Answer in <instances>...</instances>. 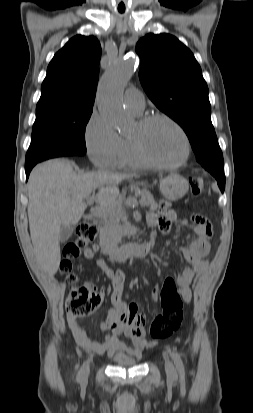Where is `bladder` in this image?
Segmentation results:
<instances>
[{
    "mask_svg": "<svg viewBox=\"0 0 253 413\" xmlns=\"http://www.w3.org/2000/svg\"><path fill=\"white\" fill-rule=\"evenodd\" d=\"M113 362L122 367H131L138 363V360L126 355H117L113 357Z\"/></svg>",
    "mask_w": 253,
    "mask_h": 413,
    "instance_id": "1",
    "label": "bladder"
}]
</instances>
